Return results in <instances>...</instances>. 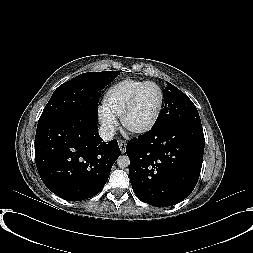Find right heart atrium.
<instances>
[{
  "mask_svg": "<svg viewBox=\"0 0 253 253\" xmlns=\"http://www.w3.org/2000/svg\"><path fill=\"white\" fill-rule=\"evenodd\" d=\"M98 119L102 126V129L109 135L113 134L118 120L115 114L105 109L103 106L98 110Z\"/></svg>",
  "mask_w": 253,
  "mask_h": 253,
  "instance_id": "1",
  "label": "right heart atrium"
}]
</instances>
